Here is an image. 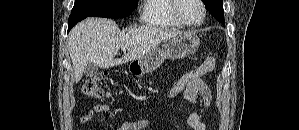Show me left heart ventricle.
<instances>
[{
  "label": "left heart ventricle",
  "instance_id": "obj_1",
  "mask_svg": "<svg viewBox=\"0 0 299 130\" xmlns=\"http://www.w3.org/2000/svg\"><path fill=\"white\" fill-rule=\"evenodd\" d=\"M179 13L187 22L196 23L202 17V8L197 0H180Z\"/></svg>",
  "mask_w": 299,
  "mask_h": 130
}]
</instances>
